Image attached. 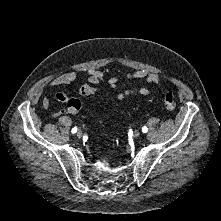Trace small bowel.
Listing matches in <instances>:
<instances>
[{
	"instance_id": "1",
	"label": "small bowel",
	"mask_w": 221,
	"mask_h": 221,
	"mask_svg": "<svg viewBox=\"0 0 221 221\" xmlns=\"http://www.w3.org/2000/svg\"><path fill=\"white\" fill-rule=\"evenodd\" d=\"M77 76L78 74L76 71H68L65 73H61L50 80L49 86L58 87V86L70 84L77 79ZM104 78H105V72L102 70L92 68L87 71V79H88L89 84L97 85L100 82H102ZM125 78L127 80H140V81H144L145 83L159 84L161 82V78L159 75L155 73H151L147 70H138L134 72H129L125 75ZM107 82L112 88H116L120 83V78L117 76H110L107 79ZM84 85H87V84H84ZM134 94H141L144 96H148L151 94V91L146 87H141L138 89L127 88L121 91L117 95V98L119 100H123ZM78 95H80V89H79ZM53 98L57 102L65 103L69 111H74L70 107V102L74 98L73 96H69L65 93L57 92L54 94ZM42 106L43 108L48 109L50 107V100L48 98H44L42 100ZM62 113H63V110L61 109L56 110L55 112H53V116L57 117V116H60Z\"/></svg>"
}]
</instances>
